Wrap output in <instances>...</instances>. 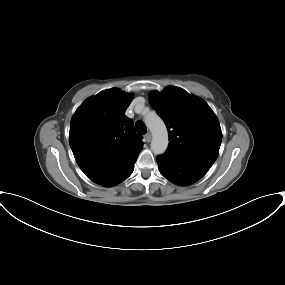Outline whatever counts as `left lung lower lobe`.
<instances>
[{"mask_svg": "<svg viewBox=\"0 0 285 285\" xmlns=\"http://www.w3.org/2000/svg\"><path fill=\"white\" fill-rule=\"evenodd\" d=\"M158 169L169 181L186 186L202 178L210 168L180 160L165 153L157 156Z\"/></svg>", "mask_w": 285, "mask_h": 285, "instance_id": "obj_1", "label": "left lung lower lobe"}]
</instances>
